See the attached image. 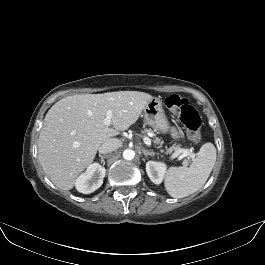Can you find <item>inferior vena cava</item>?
Segmentation results:
<instances>
[{
	"instance_id": "inferior-vena-cava-1",
	"label": "inferior vena cava",
	"mask_w": 265,
	"mask_h": 265,
	"mask_svg": "<svg viewBox=\"0 0 265 265\" xmlns=\"http://www.w3.org/2000/svg\"><path fill=\"white\" fill-rule=\"evenodd\" d=\"M121 146V142L118 139L112 138L106 142H104L100 147H99V153L100 154H108L117 148Z\"/></svg>"
}]
</instances>
